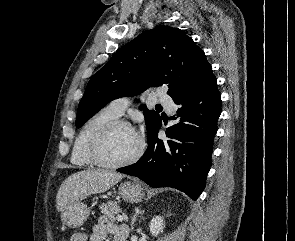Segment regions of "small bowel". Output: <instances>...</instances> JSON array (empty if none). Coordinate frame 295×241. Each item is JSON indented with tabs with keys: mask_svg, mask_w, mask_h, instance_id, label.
Returning a JSON list of instances; mask_svg holds the SVG:
<instances>
[{
	"mask_svg": "<svg viewBox=\"0 0 295 241\" xmlns=\"http://www.w3.org/2000/svg\"><path fill=\"white\" fill-rule=\"evenodd\" d=\"M128 232L126 226L117 225L102 216L93 226L92 233L87 236L86 241H104L108 236H111L113 241H127Z\"/></svg>",
	"mask_w": 295,
	"mask_h": 241,
	"instance_id": "1",
	"label": "small bowel"
}]
</instances>
